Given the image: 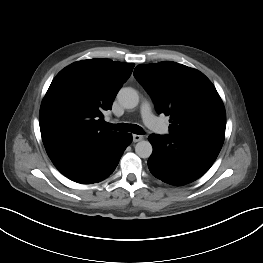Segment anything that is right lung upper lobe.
<instances>
[{
    "label": "right lung upper lobe",
    "mask_w": 263,
    "mask_h": 263,
    "mask_svg": "<svg viewBox=\"0 0 263 263\" xmlns=\"http://www.w3.org/2000/svg\"><path fill=\"white\" fill-rule=\"evenodd\" d=\"M133 68V63L88 59L75 62L57 74L39 115L42 140L52 162L120 134L103 128L102 112L112 108L117 92Z\"/></svg>",
    "instance_id": "1"
}]
</instances>
